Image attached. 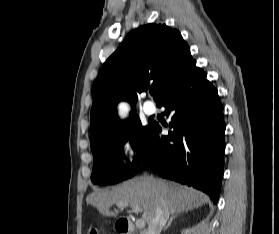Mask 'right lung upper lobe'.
I'll use <instances>...</instances> for the list:
<instances>
[{
    "instance_id": "right-lung-upper-lobe-1",
    "label": "right lung upper lobe",
    "mask_w": 279,
    "mask_h": 234,
    "mask_svg": "<svg viewBox=\"0 0 279 234\" xmlns=\"http://www.w3.org/2000/svg\"><path fill=\"white\" fill-rule=\"evenodd\" d=\"M196 63L178 30L165 24H147L132 30L107 59L97 77L91 110V145L119 129L128 120L117 116L121 100L132 103L136 92L155 87L154 100L162 98Z\"/></svg>"
}]
</instances>
